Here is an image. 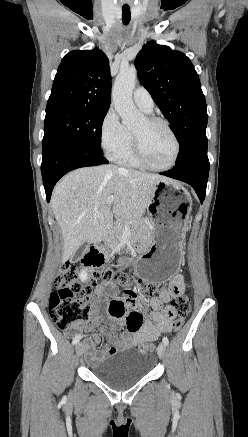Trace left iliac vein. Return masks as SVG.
<instances>
[{"label": "left iliac vein", "mask_w": 248, "mask_h": 437, "mask_svg": "<svg viewBox=\"0 0 248 437\" xmlns=\"http://www.w3.org/2000/svg\"><path fill=\"white\" fill-rule=\"evenodd\" d=\"M157 354L161 359H163L165 357L166 345L164 343H159L158 348H157Z\"/></svg>", "instance_id": "obj_1"}]
</instances>
